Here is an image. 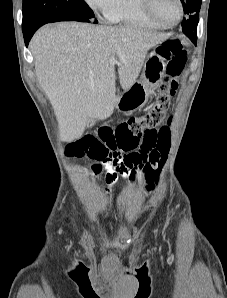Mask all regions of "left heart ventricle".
I'll list each match as a JSON object with an SVG mask.
<instances>
[{"label": "left heart ventricle", "instance_id": "obj_1", "mask_svg": "<svg viewBox=\"0 0 227 298\" xmlns=\"http://www.w3.org/2000/svg\"><path fill=\"white\" fill-rule=\"evenodd\" d=\"M154 11L166 23H173L179 17V5L176 0H155Z\"/></svg>", "mask_w": 227, "mask_h": 298}]
</instances>
